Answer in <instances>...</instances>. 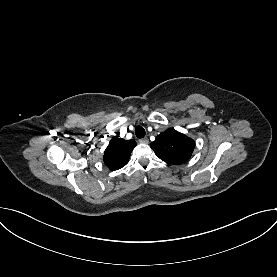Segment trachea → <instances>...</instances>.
<instances>
[{"mask_svg": "<svg viewBox=\"0 0 277 277\" xmlns=\"http://www.w3.org/2000/svg\"><path fill=\"white\" fill-rule=\"evenodd\" d=\"M135 134L138 138H143L145 136V130L142 126H137L135 128Z\"/></svg>", "mask_w": 277, "mask_h": 277, "instance_id": "3493384b", "label": "trachea"}]
</instances>
